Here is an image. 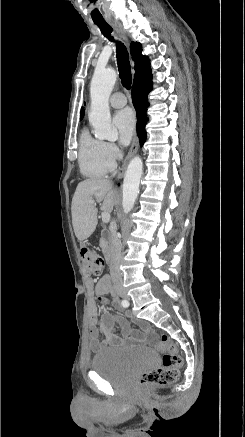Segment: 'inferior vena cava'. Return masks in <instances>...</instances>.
Segmentation results:
<instances>
[{
    "label": "inferior vena cava",
    "mask_w": 245,
    "mask_h": 437,
    "mask_svg": "<svg viewBox=\"0 0 245 437\" xmlns=\"http://www.w3.org/2000/svg\"><path fill=\"white\" fill-rule=\"evenodd\" d=\"M121 250H122L121 240L117 232L113 231L110 240L109 270H110L111 280L114 286L122 284V273L120 270Z\"/></svg>",
    "instance_id": "1"
}]
</instances>
